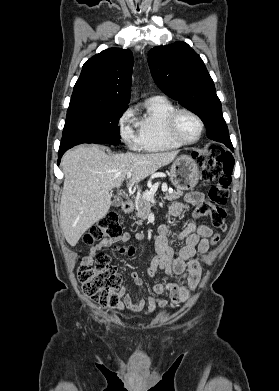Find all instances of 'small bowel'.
Masks as SVG:
<instances>
[{"mask_svg": "<svg viewBox=\"0 0 279 391\" xmlns=\"http://www.w3.org/2000/svg\"><path fill=\"white\" fill-rule=\"evenodd\" d=\"M205 201V196L199 191H192L185 196L183 203L174 202L169 205V213L172 216H179L189 209V205H200ZM214 235L212 229L206 225L197 224L196 221H190L181 231L171 233L169 228L161 224L158 233L155 236L156 256L151 260L148 267V276L153 281L151 290L152 295L147 299L142 298L138 302H133L130 293L122 290L123 301L120 310H128L149 316L154 313L157 307L167 309L168 303L159 295L164 292L169 293L172 303L177 304L185 302L189 298L191 291L195 290L202 274L201 266L198 260L193 257L197 254L208 252L210 244L209 238ZM134 237L138 240L143 239L144 234L135 233ZM131 238L130 233H124L119 240L126 242ZM185 241V245L177 250L173 242ZM109 242L101 241L92 246L90 256L86 257L83 263L90 264L94 256L103 248L109 246ZM158 270L164 271L171 277H176V281L166 284L154 282ZM132 280L136 286L142 284V279L138 272H132Z\"/></svg>", "mask_w": 279, "mask_h": 391, "instance_id": "1", "label": "small bowel"}]
</instances>
